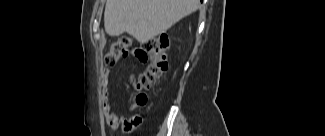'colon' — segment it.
I'll use <instances>...</instances> for the list:
<instances>
[{
    "mask_svg": "<svg viewBox=\"0 0 325 136\" xmlns=\"http://www.w3.org/2000/svg\"><path fill=\"white\" fill-rule=\"evenodd\" d=\"M168 38L164 35L150 39L143 45L149 60V64L142 75L135 82L137 89L149 88L154 83L165 77L169 68L168 61ZM132 50V39L128 36L118 38L112 42L105 55L104 61L107 66H114L120 60L128 57ZM139 104L146 102L144 95L137 97Z\"/></svg>",
    "mask_w": 325,
    "mask_h": 136,
    "instance_id": "colon-1",
    "label": "colon"
}]
</instances>
